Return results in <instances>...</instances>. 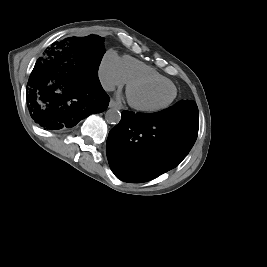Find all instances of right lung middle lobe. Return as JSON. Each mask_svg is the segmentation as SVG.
<instances>
[{
    "mask_svg": "<svg viewBox=\"0 0 267 267\" xmlns=\"http://www.w3.org/2000/svg\"><path fill=\"white\" fill-rule=\"evenodd\" d=\"M103 42V37L88 35L86 37H70L60 43L71 47L77 54L84 57L90 66L98 68L105 53Z\"/></svg>",
    "mask_w": 267,
    "mask_h": 267,
    "instance_id": "obj_1",
    "label": "right lung middle lobe"
}]
</instances>
